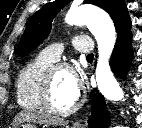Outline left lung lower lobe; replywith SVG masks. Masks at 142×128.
I'll use <instances>...</instances> for the list:
<instances>
[{
    "label": "left lung lower lobe",
    "mask_w": 142,
    "mask_h": 128,
    "mask_svg": "<svg viewBox=\"0 0 142 128\" xmlns=\"http://www.w3.org/2000/svg\"><path fill=\"white\" fill-rule=\"evenodd\" d=\"M131 23L119 30L117 41L112 52L110 66L119 77H125L132 60ZM92 114L88 119L91 128H107L110 125V113L107 110L104 97L100 93H91Z\"/></svg>",
    "instance_id": "1"
}]
</instances>
